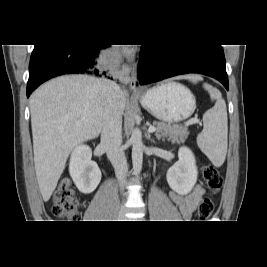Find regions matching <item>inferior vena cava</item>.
<instances>
[{
    "mask_svg": "<svg viewBox=\"0 0 267 267\" xmlns=\"http://www.w3.org/2000/svg\"><path fill=\"white\" fill-rule=\"evenodd\" d=\"M106 95L105 116L101 130V145L111 161L120 188H124L128 165L122 144V113L118 103L119 86L112 81H103Z\"/></svg>",
    "mask_w": 267,
    "mask_h": 267,
    "instance_id": "obj_1",
    "label": "inferior vena cava"
}]
</instances>
